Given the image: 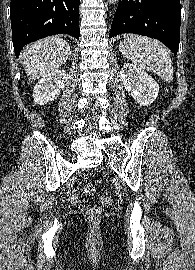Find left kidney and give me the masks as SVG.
I'll return each mask as SVG.
<instances>
[{
	"label": "left kidney",
	"mask_w": 195,
	"mask_h": 270,
	"mask_svg": "<svg viewBox=\"0 0 195 270\" xmlns=\"http://www.w3.org/2000/svg\"><path fill=\"white\" fill-rule=\"evenodd\" d=\"M120 77L125 89L141 106H148L157 98L159 85L144 70L126 63L120 71Z\"/></svg>",
	"instance_id": "5707ae66"
}]
</instances>
